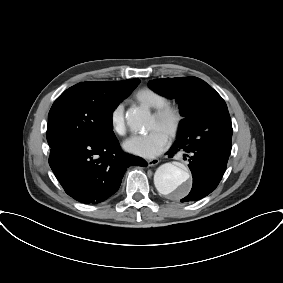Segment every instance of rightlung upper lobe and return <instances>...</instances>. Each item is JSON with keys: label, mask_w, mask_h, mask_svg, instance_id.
Masks as SVG:
<instances>
[{"label": "right lung upper lobe", "mask_w": 283, "mask_h": 283, "mask_svg": "<svg viewBox=\"0 0 283 283\" xmlns=\"http://www.w3.org/2000/svg\"><path fill=\"white\" fill-rule=\"evenodd\" d=\"M139 81L138 79H130L124 81H99V82H84L80 83L85 87H88L96 94H102L110 91H118L125 89L135 82Z\"/></svg>", "instance_id": "cb5924a9"}]
</instances>
